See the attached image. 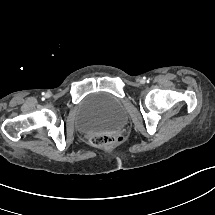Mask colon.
Wrapping results in <instances>:
<instances>
[{"instance_id": "colon-1", "label": "colon", "mask_w": 215, "mask_h": 215, "mask_svg": "<svg viewBox=\"0 0 215 215\" xmlns=\"http://www.w3.org/2000/svg\"><path fill=\"white\" fill-rule=\"evenodd\" d=\"M116 141L115 135L98 136L93 139V144L97 147H107Z\"/></svg>"}]
</instances>
